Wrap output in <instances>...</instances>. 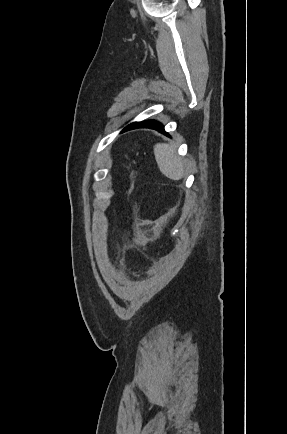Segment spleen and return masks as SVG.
Masks as SVG:
<instances>
[{
    "label": "spleen",
    "instance_id": "1",
    "mask_svg": "<svg viewBox=\"0 0 287 434\" xmlns=\"http://www.w3.org/2000/svg\"><path fill=\"white\" fill-rule=\"evenodd\" d=\"M154 155L163 175L172 180H180L184 176V163L177 156L176 149L167 143L154 146Z\"/></svg>",
    "mask_w": 287,
    "mask_h": 434
}]
</instances>
